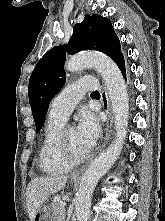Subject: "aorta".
<instances>
[{
	"label": "aorta",
	"instance_id": "obj_1",
	"mask_svg": "<svg viewBox=\"0 0 165 221\" xmlns=\"http://www.w3.org/2000/svg\"><path fill=\"white\" fill-rule=\"evenodd\" d=\"M88 66L94 67L105 81L115 120L116 138L114 143L89 165L81 179L75 197L77 221H88L93 191L121 153L129 117L127 88L117 65L108 56L100 53L75 55L65 63V69L69 72H77Z\"/></svg>",
	"mask_w": 165,
	"mask_h": 221
}]
</instances>
